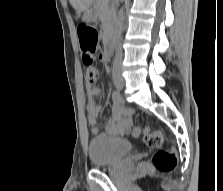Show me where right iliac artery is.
<instances>
[{"label": "right iliac artery", "mask_w": 223, "mask_h": 191, "mask_svg": "<svg viewBox=\"0 0 223 191\" xmlns=\"http://www.w3.org/2000/svg\"><path fill=\"white\" fill-rule=\"evenodd\" d=\"M112 98H113L114 100H118V101H120V100H121V95H120L119 91H117V90L113 91V93H112Z\"/></svg>", "instance_id": "1"}]
</instances>
